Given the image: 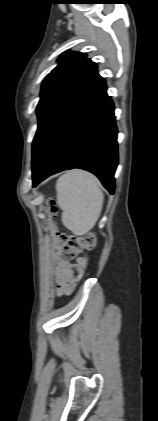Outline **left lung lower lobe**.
I'll use <instances>...</instances> for the list:
<instances>
[{
  "label": "left lung lower lobe",
  "mask_w": 158,
  "mask_h": 421,
  "mask_svg": "<svg viewBox=\"0 0 158 421\" xmlns=\"http://www.w3.org/2000/svg\"><path fill=\"white\" fill-rule=\"evenodd\" d=\"M114 105L95 74L64 105L33 150V187L52 174L81 168L113 194L118 164Z\"/></svg>",
  "instance_id": "obj_1"
}]
</instances>
